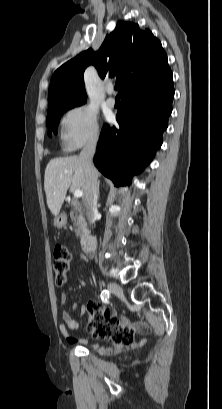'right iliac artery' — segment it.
I'll use <instances>...</instances> for the list:
<instances>
[{
	"mask_svg": "<svg viewBox=\"0 0 222 409\" xmlns=\"http://www.w3.org/2000/svg\"><path fill=\"white\" fill-rule=\"evenodd\" d=\"M110 296V293L108 290H103L100 294V297L102 300H107Z\"/></svg>",
	"mask_w": 222,
	"mask_h": 409,
	"instance_id": "right-iliac-artery-1",
	"label": "right iliac artery"
}]
</instances>
